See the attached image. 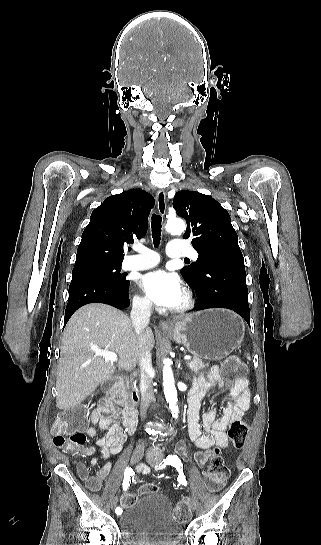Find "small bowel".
<instances>
[{
	"instance_id": "small-bowel-1",
	"label": "small bowel",
	"mask_w": 321,
	"mask_h": 545,
	"mask_svg": "<svg viewBox=\"0 0 321 545\" xmlns=\"http://www.w3.org/2000/svg\"><path fill=\"white\" fill-rule=\"evenodd\" d=\"M224 379L220 369L217 366L211 368L207 375L202 374L192 383L189 393V408H188V433L190 440L199 451L193 454L194 460L204 466L211 456L210 449L217 445L226 447L227 436L226 429L234 420H240L244 413L250 407V393L246 387V381L243 379L231 389V399L223 408L222 414L218 416V411L215 408L209 409L200 416V406L203 399L216 387L223 386ZM117 410L109 401H101L91 414L92 426L86 429L87 436L93 438L97 435L96 425L105 434L96 440V446H91L85 449L86 455H92L97 449L101 453L104 460H108L111 456L118 454L124 443L127 440V433L122 426L115 422ZM177 452L188 459L189 449L183 442L179 443L176 448ZM99 463L98 458H92L91 465L95 466ZM111 471L110 462L99 469L96 477L100 482H103ZM137 471L143 474L149 473V468L140 464Z\"/></svg>"
}]
</instances>
